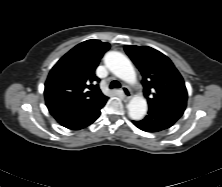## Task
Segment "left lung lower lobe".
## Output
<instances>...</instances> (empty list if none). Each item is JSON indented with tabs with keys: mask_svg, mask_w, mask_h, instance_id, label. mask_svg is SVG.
<instances>
[{
	"mask_svg": "<svg viewBox=\"0 0 222 187\" xmlns=\"http://www.w3.org/2000/svg\"><path fill=\"white\" fill-rule=\"evenodd\" d=\"M185 107L179 105H156L149 107L148 115L133 123L146 132H159L171 127L183 114Z\"/></svg>",
	"mask_w": 222,
	"mask_h": 187,
	"instance_id": "left-lung-lower-lobe-1",
	"label": "left lung lower lobe"
}]
</instances>
